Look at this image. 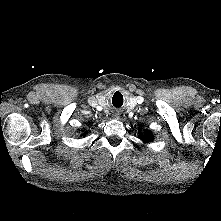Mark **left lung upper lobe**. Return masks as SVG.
I'll list each match as a JSON object with an SVG mask.
<instances>
[{"label":"left lung upper lobe","instance_id":"1","mask_svg":"<svg viewBox=\"0 0 221 221\" xmlns=\"http://www.w3.org/2000/svg\"><path fill=\"white\" fill-rule=\"evenodd\" d=\"M152 134L150 133V132H146L145 134H144V136L143 135H141L140 134V139L142 138V140L144 141V142H149L151 139H152Z\"/></svg>","mask_w":221,"mask_h":221}]
</instances>
